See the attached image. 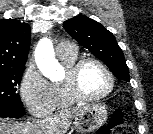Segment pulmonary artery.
Returning a JSON list of instances; mask_svg holds the SVG:
<instances>
[{"mask_svg": "<svg viewBox=\"0 0 153 134\" xmlns=\"http://www.w3.org/2000/svg\"><path fill=\"white\" fill-rule=\"evenodd\" d=\"M75 52H76V47L71 42L64 41L59 43L56 47V53L59 57L71 55Z\"/></svg>", "mask_w": 153, "mask_h": 134, "instance_id": "pulmonary-artery-1", "label": "pulmonary artery"}]
</instances>
